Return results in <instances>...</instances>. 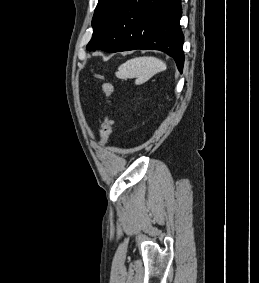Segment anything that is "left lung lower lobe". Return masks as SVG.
Instances as JSON below:
<instances>
[{"instance_id": "left-lung-lower-lobe-1", "label": "left lung lower lobe", "mask_w": 259, "mask_h": 283, "mask_svg": "<svg viewBox=\"0 0 259 283\" xmlns=\"http://www.w3.org/2000/svg\"><path fill=\"white\" fill-rule=\"evenodd\" d=\"M181 16V0H125L105 34L87 49L107 52L160 50L173 57L182 72Z\"/></svg>"}]
</instances>
